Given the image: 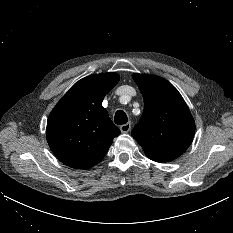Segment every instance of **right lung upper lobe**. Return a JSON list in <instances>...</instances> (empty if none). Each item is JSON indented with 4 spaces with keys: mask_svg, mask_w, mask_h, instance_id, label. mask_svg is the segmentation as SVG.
Returning <instances> with one entry per match:
<instances>
[{
    "mask_svg": "<svg viewBox=\"0 0 233 233\" xmlns=\"http://www.w3.org/2000/svg\"><path fill=\"white\" fill-rule=\"evenodd\" d=\"M118 81L116 73L85 77L70 88L50 113L47 141L65 165L76 169L95 166L120 134L101 104Z\"/></svg>",
    "mask_w": 233,
    "mask_h": 233,
    "instance_id": "cb5924a9",
    "label": "right lung upper lobe"
}]
</instances>
